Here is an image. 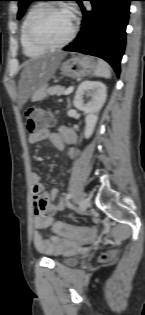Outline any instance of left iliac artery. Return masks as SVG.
Segmentation results:
<instances>
[{
    "mask_svg": "<svg viewBox=\"0 0 145 315\" xmlns=\"http://www.w3.org/2000/svg\"><path fill=\"white\" fill-rule=\"evenodd\" d=\"M71 198H72V194L71 193L66 195V199H71Z\"/></svg>",
    "mask_w": 145,
    "mask_h": 315,
    "instance_id": "1",
    "label": "left iliac artery"
}]
</instances>
